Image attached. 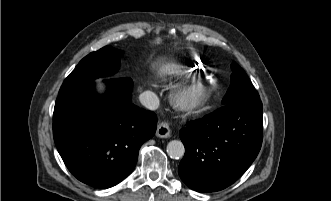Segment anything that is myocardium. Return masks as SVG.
Instances as JSON below:
<instances>
[{
    "label": "myocardium",
    "instance_id": "obj_1",
    "mask_svg": "<svg viewBox=\"0 0 331 201\" xmlns=\"http://www.w3.org/2000/svg\"><path fill=\"white\" fill-rule=\"evenodd\" d=\"M190 90H197L198 93L191 99L184 97ZM171 101L175 107L183 112L191 113L201 109L208 101L209 87L199 84L195 80L176 85L171 92Z\"/></svg>",
    "mask_w": 331,
    "mask_h": 201
}]
</instances>
